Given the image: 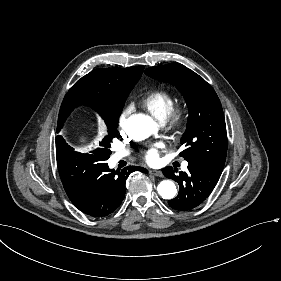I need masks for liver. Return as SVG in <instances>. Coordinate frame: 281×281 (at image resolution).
<instances>
[{
  "instance_id": "6515ba94",
  "label": "liver",
  "mask_w": 281,
  "mask_h": 281,
  "mask_svg": "<svg viewBox=\"0 0 281 281\" xmlns=\"http://www.w3.org/2000/svg\"><path fill=\"white\" fill-rule=\"evenodd\" d=\"M89 142L90 138L89 135L82 132L76 137V145H77V150H87L89 147Z\"/></svg>"
}]
</instances>
